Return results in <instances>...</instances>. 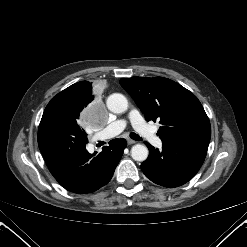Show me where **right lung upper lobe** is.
Masks as SVG:
<instances>
[{"label":"right lung upper lobe","instance_id":"1","mask_svg":"<svg viewBox=\"0 0 247 247\" xmlns=\"http://www.w3.org/2000/svg\"><path fill=\"white\" fill-rule=\"evenodd\" d=\"M65 90L73 92L78 97H82V98L93 97L92 85L87 81H81L75 83L69 86L68 88H66Z\"/></svg>","mask_w":247,"mask_h":247}]
</instances>
